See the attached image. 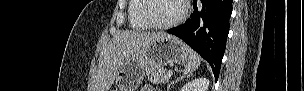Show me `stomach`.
Returning <instances> with one entry per match:
<instances>
[{
  "instance_id": "1",
  "label": "stomach",
  "mask_w": 304,
  "mask_h": 91,
  "mask_svg": "<svg viewBox=\"0 0 304 91\" xmlns=\"http://www.w3.org/2000/svg\"><path fill=\"white\" fill-rule=\"evenodd\" d=\"M189 47L171 35L157 38L143 53L130 57L118 70L116 85L119 91H136L141 84L147 65L161 67L187 62Z\"/></svg>"
}]
</instances>
